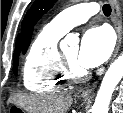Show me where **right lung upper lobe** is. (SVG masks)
I'll use <instances>...</instances> for the list:
<instances>
[{
  "mask_svg": "<svg viewBox=\"0 0 123 113\" xmlns=\"http://www.w3.org/2000/svg\"><path fill=\"white\" fill-rule=\"evenodd\" d=\"M16 53H20V35H18L17 41H16V48H15L14 54Z\"/></svg>",
  "mask_w": 123,
  "mask_h": 113,
  "instance_id": "right-lung-upper-lobe-1",
  "label": "right lung upper lobe"
}]
</instances>
